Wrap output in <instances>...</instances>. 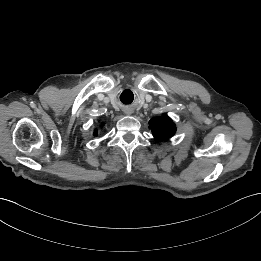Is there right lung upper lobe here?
<instances>
[{"label":"right lung upper lobe","instance_id":"obj_1","mask_svg":"<svg viewBox=\"0 0 261 261\" xmlns=\"http://www.w3.org/2000/svg\"><path fill=\"white\" fill-rule=\"evenodd\" d=\"M95 135L97 134V131H95V133H94Z\"/></svg>","mask_w":261,"mask_h":261}]
</instances>
